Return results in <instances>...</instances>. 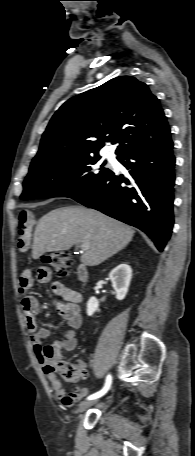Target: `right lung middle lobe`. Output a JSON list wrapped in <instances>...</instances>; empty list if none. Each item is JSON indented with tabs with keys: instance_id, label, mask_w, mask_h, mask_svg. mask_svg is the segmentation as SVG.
<instances>
[{
	"instance_id": "1",
	"label": "right lung middle lobe",
	"mask_w": 195,
	"mask_h": 456,
	"mask_svg": "<svg viewBox=\"0 0 195 456\" xmlns=\"http://www.w3.org/2000/svg\"><path fill=\"white\" fill-rule=\"evenodd\" d=\"M99 155L55 159L32 166L23 183L22 200L75 198L88 193L113 172L100 165Z\"/></svg>"
}]
</instances>
